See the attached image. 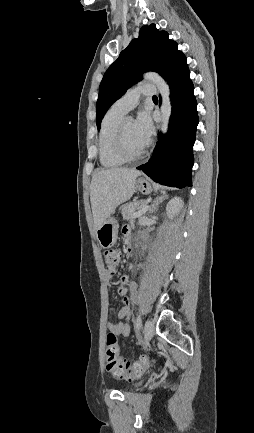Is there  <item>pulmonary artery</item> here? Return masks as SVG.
<instances>
[{
    "instance_id": "e3ab8cb5",
    "label": "pulmonary artery",
    "mask_w": 254,
    "mask_h": 433,
    "mask_svg": "<svg viewBox=\"0 0 254 433\" xmlns=\"http://www.w3.org/2000/svg\"><path fill=\"white\" fill-rule=\"evenodd\" d=\"M155 93V87L151 84H144L135 87L128 91L123 97L117 100L111 107L112 110L123 114L128 113L132 110L139 102L142 95H153Z\"/></svg>"
}]
</instances>
